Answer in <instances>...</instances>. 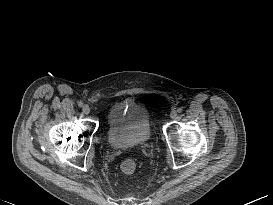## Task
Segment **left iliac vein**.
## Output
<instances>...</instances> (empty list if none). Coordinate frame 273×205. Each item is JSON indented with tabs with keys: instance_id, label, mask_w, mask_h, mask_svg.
<instances>
[{
	"instance_id": "4c4485c4",
	"label": "left iliac vein",
	"mask_w": 273,
	"mask_h": 205,
	"mask_svg": "<svg viewBox=\"0 0 273 205\" xmlns=\"http://www.w3.org/2000/svg\"><path fill=\"white\" fill-rule=\"evenodd\" d=\"M170 117H171L172 119H176V117H177V112H176V111H171Z\"/></svg>"
}]
</instances>
